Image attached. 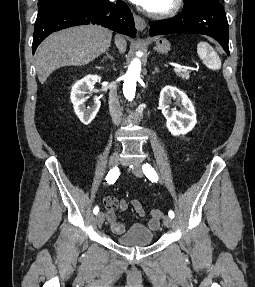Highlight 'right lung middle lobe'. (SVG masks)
Returning <instances> with one entry per match:
<instances>
[{
  "mask_svg": "<svg viewBox=\"0 0 255 287\" xmlns=\"http://www.w3.org/2000/svg\"><path fill=\"white\" fill-rule=\"evenodd\" d=\"M108 4V0H39L38 15L51 9L73 6H90L103 10Z\"/></svg>",
  "mask_w": 255,
  "mask_h": 287,
  "instance_id": "right-lung-middle-lobe-1",
  "label": "right lung middle lobe"
}]
</instances>
